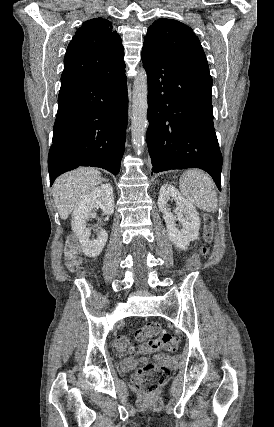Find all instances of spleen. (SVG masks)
<instances>
[{"label": "spleen", "instance_id": "3e777b00", "mask_svg": "<svg viewBox=\"0 0 274 427\" xmlns=\"http://www.w3.org/2000/svg\"><path fill=\"white\" fill-rule=\"evenodd\" d=\"M180 188L183 198L190 204H195L203 212H216V188L208 174L202 170H187L180 178Z\"/></svg>", "mask_w": 274, "mask_h": 427}]
</instances>
